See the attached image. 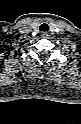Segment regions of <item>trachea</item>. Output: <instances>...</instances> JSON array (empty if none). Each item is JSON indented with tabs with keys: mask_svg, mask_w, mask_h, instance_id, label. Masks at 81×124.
Returning <instances> with one entry per match:
<instances>
[{
	"mask_svg": "<svg viewBox=\"0 0 81 124\" xmlns=\"http://www.w3.org/2000/svg\"><path fill=\"white\" fill-rule=\"evenodd\" d=\"M39 30H40V31H45V32H47V31L49 30L48 24L42 23V24L40 25V27H39Z\"/></svg>",
	"mask_w": 81,
	"mask_h": 124,
	"instance_id": "3493384b",
	"label": "trachea"
}]
</instances>
